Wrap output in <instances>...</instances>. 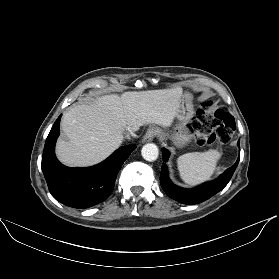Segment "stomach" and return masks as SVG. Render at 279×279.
Listing matches in <instances>:
<instances>
[{
	"mask_svg": "<svg viewBox=\"0 0 279 279\" xmlns=\"http://www.w3.org/2000/svg\"><path fill=\"white\" fill-rule=\"evenodd\" d=\"M193 112L192 96L189 93H185L182 97L181 106L177 114L180 124L174 128L172 134L161 131V138L163 140L170 138L178 147L186 145L192 137L189 130L186 128V124L193 117Z\"/></svg>",
	"mask_w": 279,
	"mask_h": 279,
	"instance_id": "0dacf381",
	"label": "stomach"
}]
</instances>
